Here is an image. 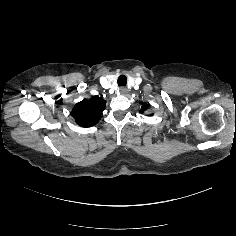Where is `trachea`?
Here are the masks:
<instances>
[{
  "label": "trachea",
  "instance_id": "trachea-1",
  "mask_svg": "<svg viewBox=\"0 0 236 236\" xmlns=\"http://www.w3.org/2000/svg\"><path fill=\"white\" fill-rule=\"evenodd\" d=\"M118 86H125L127 84V78L125 75H120L117 80Z\"/></svg>",
  "mask_w": 236,
  "mask_h": 236
}]
</instances>
